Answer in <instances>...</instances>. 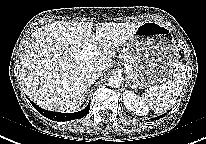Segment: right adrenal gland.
<instances>
[{
	"mask_svg": "<svg viewBox=\"0 0 206 144\" xmlns=\"http://www.w3.org/2000/svg\"><path fill=\"white\" fill-rule=\"evenodd\" d=\"M93 83H88V90H90V86L92 85Z\"/></svg>",
	"mask_w": 206,
	"mask_h": 144,
	"instance_id": "right-adrenal-gland-1",
	"label": "right adrenal gland"
}]
</instances>
